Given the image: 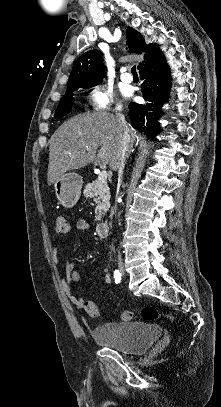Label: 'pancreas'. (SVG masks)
<instances>
[{"label": "pancreas", "instance_id": "obj_1", "mask_svg": "<svg viewBox=\"0 0 221 407\" xmlns=\"http://www.w3.org/2000/svg\"><path fill=\"white\" fill-rule=\"evenodd\" d=\"M83 194L85 197L93 198L96 203L95 221H101L102 217L110 208V191L108 185L94 180L85 186Z\"/></svg>", "mask_w": 221, "mask_h": 407}]
</instances>
